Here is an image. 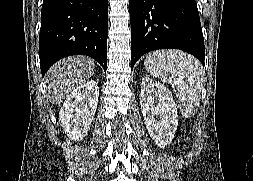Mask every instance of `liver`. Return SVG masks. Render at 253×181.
Masks as SVG:
<instances>
[{
	"mask_svg": "<svg viewBox=\"0 0 253 181\" xmlns=\"http://www.w3.org/2000/svg\"><path fill=\"white\" fill-rule=\"evenodd\" d=\"M94 70V61L85 56L68 57L56 63L47 74L54 93L52 102L60 104L72 89L88 81Z\"/></svg>",
	"mask_w": 253,
	"mask_h": 181,
	"instance_id": "6515ba94",
	"label": "liver"
}]
</instances>
